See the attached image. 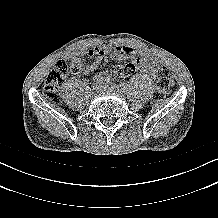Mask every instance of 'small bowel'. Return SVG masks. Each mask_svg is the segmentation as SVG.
<instances>
[{"label":"small bowel","instance_id":"1","mask_svg":"<svg viewBox=\"0 0 218 218\" xmlns=\"http://www.w3.org/2000/svg\"><path fill=\"white\" fill-rule=\"evenodd\" d=\"M111 53L112 59L116 61H127L123 67V72L118 75L120 78H124L136 70L155 76L159 67V59L157 56L146 50H137L130 47L116 46L104 44L98 47L90 48L85 51H75L69 55L71 59L70 69L74 74L80 73L90 74L94 66L98 65L101 60L108 54ZM84 56L95 57L94 66L83 67L82 59ZM102 77L96 75L95 78Z\"/></svg>","mask_w":218,"mask_h":218}]
</instances>
